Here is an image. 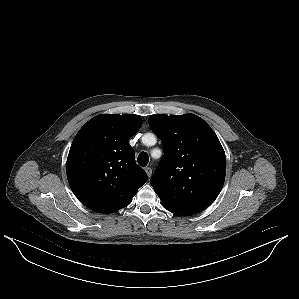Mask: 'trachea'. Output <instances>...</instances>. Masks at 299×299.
<instances>
[{"mask_svg": "<svg viewBox=\"0 0 299 299\" xmlns=\"http://www.w3.org/2000/svg\"><path fill=\"white\" fill-rule=\"evenodd\" d=\"M137 161H138V164L140 166L145 167L148 164V162H149V156H148V154L145 153V152L140 153L139 156H138V158H137Z\"/></svg>", "mask_w": 299, "mask_h": 299, "instance_id": "3493384b", "label": "trachea"}]
</instances>
